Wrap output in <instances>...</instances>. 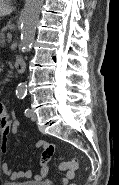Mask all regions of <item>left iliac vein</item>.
I'll return each mask as SVG.
<instances>
[{
	"label": "left iliac vein",
	"mask_w": 119,
	"mask_h": 185,
	"mask_svg": "<svg viewBox=\"0 0 119 185\" xmlns=\"http://www.w3.org/2000/svg\"><path fill=\"white\" fill-rule=\"evenodd\" d=\"M29 117L31 118L32 121H36V119H37V116L32 109L30 110Z\"/></svg>",
	"instance_id": "left-iliac-vein-1"
}]
</instances>
